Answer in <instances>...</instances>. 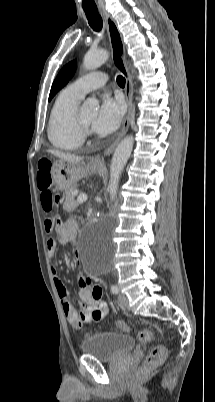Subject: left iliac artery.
I'll return each instance as SVG.
<instances>
[{"mask_svg": "<svg viewBox=\"0 0 215 402\" xmlns=\"http://www.w3.org/2000/svg\"><path fill=\"white\" fill-rule=\"evenodd\" d=\"M111 291H112V293L117 294L119 292V289H118V287L116 285H112L111 286Z\"/></svg>", "mask_w": 215, "mask_h": 402, "instance_id": "44dca946", "label": "left iliac artery"}]
</instances>
